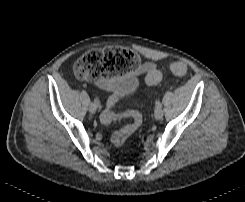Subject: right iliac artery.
<instances>
[{"label":"right iliac artery","instance_id":"right-iliac-artery-1","mask_svg":"<svg viewBox=\"0 0 245 202\" xmlns=\"http://www.w3.org/2000/svg\"><path fill=\"white\" fill-rule=\"evenodd\" d=\"M94 104H95L97 107H101V103H100V101H99L97 98L94 99Z\"/></svg>","mask_w":245,"mask_h":202}]
</instances>
